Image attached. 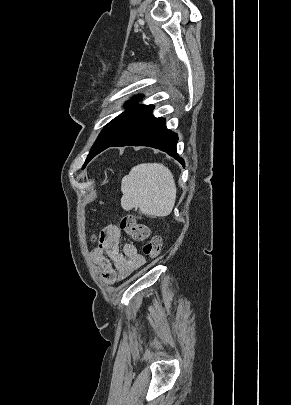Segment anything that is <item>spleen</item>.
<instances>
[{"instance_id": "1", "label": "spleen", "mask_w": 291, "mask_h": 405, "mask_svg": "<svg viewBox=\"0 0 291 405\" xmlns=\"http://www.w3.org/2000/svg\"><path fill=\"white\" fill-rule=\"evenodd\" d=\"M121 191L123 209L139 208L145 215L164 217L173 210L177 189L173 174L166 166L142 163L122 179Z\"/></svg>"}]
</instances>
